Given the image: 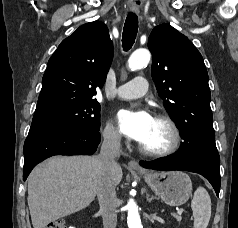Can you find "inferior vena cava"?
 I'll return each mask as SVG.
<instances>
[{"mask_svg": "<svg viewBox=\"0 0 238 228\" xmlns=\"http://www.w3.org/2000/svg\"><path fill=\"white\" fill-rule=\"evenodd\" d=\"M120 140V134L117 132L105 133L100 153L97 156L100 171L97 197L104 228H116L117 224L115 212L117 197L111 174L117 166L115 159L120 156Z\"/></svg>", "mask_w": 238, "mask_h": 228, "instance_id": "inferior-vena-cava-1", "label": "inferior vena cava"}]
</instances>
